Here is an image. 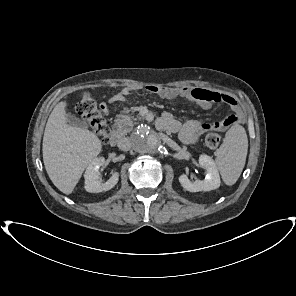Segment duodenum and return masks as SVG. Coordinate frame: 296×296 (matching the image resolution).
Wrapping results in <instances>:
<instances>
[{
  "instance_id": "duodenum-1",
  "label": "duodenum",
  "mask_w": 296,
  "mask_h": 296,
  "mask_svg": "<svg viewBox=\"0 0 296 296\" xmlns=\"http://www.w3.org/2000/svg\"><path fill=\"white\" fill-rule=\"evenodd\" d=\"M121 136L120 130L118 128H114L110 135V144L113 146L117 145L121 140Z\"/></svg>"
}]
</instances>
